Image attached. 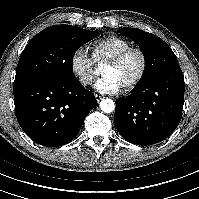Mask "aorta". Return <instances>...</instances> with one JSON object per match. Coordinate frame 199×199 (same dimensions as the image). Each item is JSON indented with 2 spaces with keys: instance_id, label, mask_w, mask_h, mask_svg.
Wrapping results in <instances>:
<instances>
[{
  "instance_id": "1",
  "label": "aorta",
  "mask_w": 199,
  "mask_h": 199,
  "mask_svg": "<svg viewBox=\"0 0 199 199\" xmlns=\"http://www.w3.org/2000/svg\"><path fill=\"white\" fill-rule=\"evenodd\" d=\"M99 106H100V109L105 113H111L115 109L114 101L108 98L101 100Z\"/></svg>"
}]
</instances>
